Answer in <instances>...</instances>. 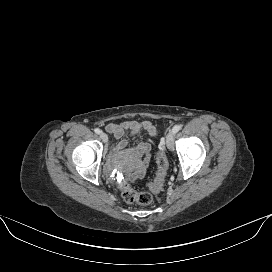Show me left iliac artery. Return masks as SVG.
Here are the masks:
<instances>
[{"instance_id":"44dca946","label":"left iliac artery","mask_w":272,"mask_h":272,"mask_svg":"<svg viewBox=\"0 0 272 272\" xmlns=\"http://www.w3.org/2000/svg\"><path fill=\"white\" fill-rule=\"evenodd\" d=\"M180 129H181V126H180V125H175V126L172 128V132L175 134V133H177Z\"/></svg>"}]
</instances>
